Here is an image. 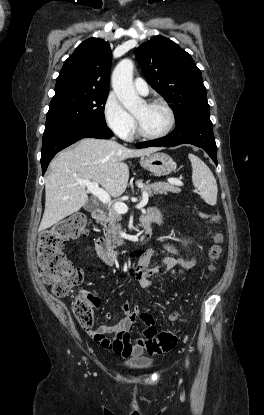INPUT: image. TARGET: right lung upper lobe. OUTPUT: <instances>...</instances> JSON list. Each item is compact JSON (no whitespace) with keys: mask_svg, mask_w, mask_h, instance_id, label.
<instances>
[{"mask_svg":"<svg viewBox=\"0 0 264 415\" xmlns=\"http://www.w3.org/2000/svg\"><path fill=\"white\" fill-rule=\"evenodd\" d=\"M111 54L109 43L102 39L82 42L65 61L56 80L55 95L108 93Z\"/></svg>","mask_w":264,"mask_h":415,"instance_id":"1","label":"right lung upper lobe"}]
</instances>
